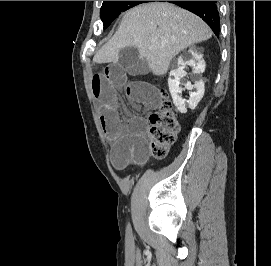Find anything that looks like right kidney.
<instances>
[{
    "label": "right kidney",
    "instance_id": "1",
    "mask_svg": "<svg viewBox=\"0 0 271 266\" xmlns=\"http://www.w3.org/2000/svg\"><path fill=\"white\" fill-rule=\"evenodd\" d=\"M186 65L192 67L191 80L185 81V89L190 91L189 99L181 98L178 94L182 92V88L179 87L180 80L187 75L184 71ZM205 61L202 58V54H199L195 49L191 48L187 52L179 56L177 60V66L170 71L168 78L169 91L171 93L173 103L181 113L187 112V107L195 109L204 95V82L201 78V74L205 71ZM195 89L194 92L192 90Z\"/></svg>",
    "mask_w": 271,
    "mask_h": 266
}]
</instances>
